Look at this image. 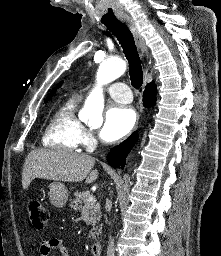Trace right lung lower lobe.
Instances as JSON below:
<instances>
[{"instance_id":"obj_1","label":"right lung lower lobe","mask_w":221,"mask_h":256,"mask_svg":"<svg viewBox=\"0 0 221 256\" xmlns=\"http://www.w3.org/2000/svg\"><path fill=\"white\" fill-rule=\"evenodd\" d=\"M156 86H147L143 93V104L145 107H150L154 105L156 101ZM138 134L134 132L130 137H128L121 144L114 147L107 156V161L110 166L114 168H124L125 158L129 151L134 146L137 140Z\"/></svg>"}]
</instances>
